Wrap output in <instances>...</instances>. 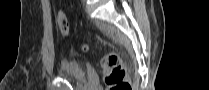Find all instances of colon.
<instances>
[{
	"mask_svg": "<svg viewBox=\"0 0 209 90\" xmlns=\"http://www.w3.org/2000/svg\"><path fill=\"white\" fill-rule=\"evenodd\" d=\"M57 25L63 36L68 35L70 25L62 11L58 14ZM101 67L109 90H132V85L127 78L125 64L119 54L113 52L106 54L101 60Z\"/></svg>",
	"mask_w": 209,
	"mask_h": 90,
	"instance_id": "5ec220e1",
	"label": "colon"
}]
</instances>
